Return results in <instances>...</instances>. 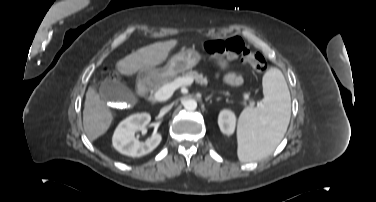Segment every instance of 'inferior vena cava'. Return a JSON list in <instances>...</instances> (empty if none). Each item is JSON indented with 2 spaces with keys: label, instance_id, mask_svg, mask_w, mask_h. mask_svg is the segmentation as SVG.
I'll return each mask as SVG.
<instances>
[{
  "label": "inferior vena cava",
  "instance_id": "1",
  "mask_svg": "<svg viewBox=\"0 0 376 202\" xmlns=\"http://www.w3.org/2000/svg\"><path fill=\"white\" fill-rule=\"evenodd\" d=\"M169 110H170V106H166V107H164V108L161 109V114H165V113H167Z\"/></svg>",
  "mask_w": 376,
  "mask_h": 202
}]
</instances>
